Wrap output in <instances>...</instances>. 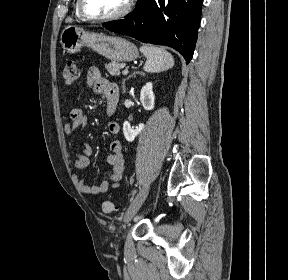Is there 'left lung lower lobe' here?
<instances>
[{
	"mask_svg": "<svg viewBox=\"0 0 288 280\" xmlns=\"http://www.w3.org/2000/svg\"><path fill=\"white\" fill-rule=\"evenodd\" d=\"M203 0H139L122 20L103 24L107 29L144 43L165 45L192 59Z\"/></svg>",
	"mask_w": 288,
	"mask_h": 280,
	"instance_id": "left-lung-lower-lobe-1",
	"label": "left lung lower lobe"
}]
</instances>
